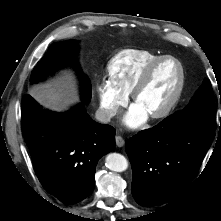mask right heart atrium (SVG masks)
<instances>
[{"instance_id":"right-heart-atrium-1","label":"right heart atrium","mask_w":221,"mask_h":221,"mask_svg":"<svg viewBox=\"0 0 221 221\" xmlns=\"http://www.w3.org/2000/svg\"><path fill=\"white\" fill-rule=\"evenodd\" d=\"M100 112L106 119L119 114L128 101V94L118 89L109 79H102L96 87Z\"/></svg>"}]
</instances>
